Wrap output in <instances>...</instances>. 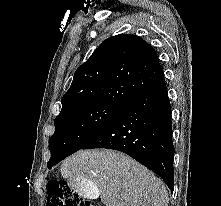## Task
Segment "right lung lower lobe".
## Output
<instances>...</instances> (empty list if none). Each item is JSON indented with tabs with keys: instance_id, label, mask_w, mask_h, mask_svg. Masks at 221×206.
<instances>
[{
	"instance_id": "obj_1",
	"label": "right lung lower lobe",
	"mask_w": 221,
	"mask_h": 206,
	"mask_svg": "<svg viewBox=\"0 0 221 206\" xmlns=\"http://www.w3.org/2000/svg\"><path fill=\"white\" fill-rule=\"evenodd\" d=\"M107 148L126 153L158 174L173 191L171 107L163 78L139 94L81 149Z\"/></svg>"
}]
</instances>
